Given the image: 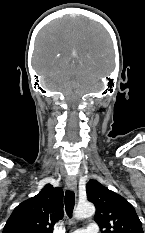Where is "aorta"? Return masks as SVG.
Segmentation results:
<instances>
[{
    "label": "aorta",
    "instance_id": "obj_1",
    "mask_svg": "<svg viewBox=\"0 0 145 233\" xmlns=\"http://www.w3.org/2000/svg\"><path fill=\"white\" fill-rule=\"evenodd\" d=\"M95 213V207L92 203L86 202L82 204H78L74 216L76 219H83L88 218L94 215Z\"/></svg>",
    "mask_w": 145,
    "mask_h": 233
}]
</instances>
